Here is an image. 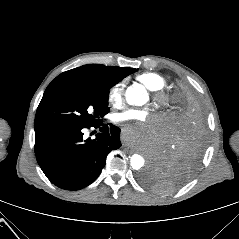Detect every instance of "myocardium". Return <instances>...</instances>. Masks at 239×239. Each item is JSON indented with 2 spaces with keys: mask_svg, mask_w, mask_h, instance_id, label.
Wrapping results in <instances>:
<instances>
[{
  "mask_svg": "<svg viewBox=\"0 0 239 239\" xmlns=\"http://www.w3.org/2000/svg\"><path fill=\"white\" fill-rule=\"evenodd\" d=\"M153 100L155 104L160 108L168 107L171 102L170 97L162 91H156L153 94Z\"/></svg>",
  "mask_w": 239,
  "mask_h": 239,
  "instance_id": "1",
  "label": "myocardium"
}]
</instances>
